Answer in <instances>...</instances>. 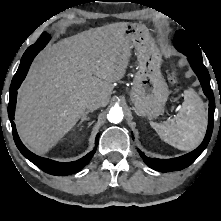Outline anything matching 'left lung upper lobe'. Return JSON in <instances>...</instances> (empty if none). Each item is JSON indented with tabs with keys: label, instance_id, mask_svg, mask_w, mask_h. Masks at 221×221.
I'll return each instance as SVG.
<instances>
[{
	"label": "left lung upper lobe",
	"instance_id": "5c2ea615",
	"mask_svg": "<svg viewBox=\"0 0 221 221\" xmlns=\"http://www.w3.org/2000/svg\"><path fill=\"white\" fill-rule=\"evenodd\" d=\"M175 47L185 55L202 60V54L194 38L185 30H178L174 39Z\"/></svg>",
	"mask_w": 221,
	"mask_h": 221
}]
</instances>
